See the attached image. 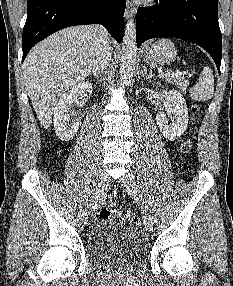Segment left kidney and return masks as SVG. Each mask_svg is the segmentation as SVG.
Returning a JSON list of instances; mask_svg holds the SVG:
<instances>
[{
  "label": "left kidney",
  "mask_w": 233,
  "mask_h": 286,
  "mask_svg": "<svg viewBox=\"0 0 233 286\" xmlns=\"http://www.w3.org/2000/svg\"><path fill=\"white\" fill-rule=\"evenodd\" d=\"M165 109L168 117L173 119L172 122L169 123L166 114L160 111L156 115V123L163 136L169 141H174L185 132L189 121L183 95L176 90L169 91L165 96Z\"/></svg>",
  "instance_id": "5707ae66"
}]
</instances>
